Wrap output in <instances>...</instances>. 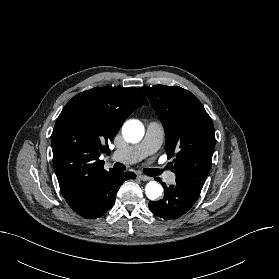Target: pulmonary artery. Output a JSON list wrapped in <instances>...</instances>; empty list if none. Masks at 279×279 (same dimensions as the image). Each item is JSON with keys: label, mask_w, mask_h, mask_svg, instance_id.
Instances as JSON below:
<instances>
[{"label": "pulmonary artery", "mask_w": 279, "mask_h": 279, "mask_svg": "<svg viewBox=\"0 0 279 279\" xmlns=\"http://www.w3.org/2000/svg\"><path fill=\"white\" fill-rule=\"evenodd\" d=\"M163 138V126L156 121H151L147 125L144 139L139 144L122 150H116L112 153L111 157L114 160L127 164L138 162L141 159L155 153L161 146ZM165 179L168 183H173L175 181V175L168 172L165 175Z\"/></svg>", "instance_id": "obj_1"}]
</instances>
